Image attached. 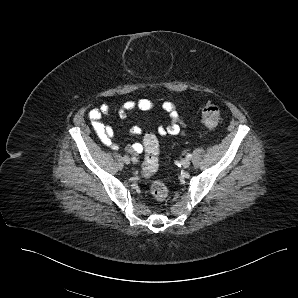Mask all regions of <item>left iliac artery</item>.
Returning <instances> with one entry per match:
<instances>
[{
	"instance_id": "obj_1",
	"label": "left iliac artery",
	"mask_w": 298,
	"mask_h": 298,
	"mask_svg": "<svg viewBox=\"0 0 298 298\" xmlns=\"http://www.w3.org/2000/svg\"><path fill=\"white\" fill-rule=\"evenodd\" d=\"M186 158H187V159H191V158H192V155H191V154H187V155H186Z\"/></svg>"
}]
</instances>
